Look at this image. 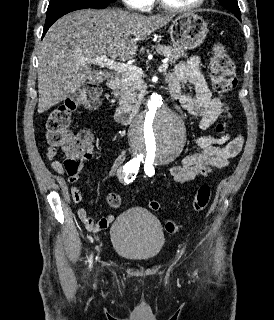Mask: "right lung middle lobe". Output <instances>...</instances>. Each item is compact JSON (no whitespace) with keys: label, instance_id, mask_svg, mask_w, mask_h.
Here are the masks:
<instances>
[{"label":"right lung middle lobe","instance_id":"dd1d6c3e","mask_svg":"<svg viewBox=\"0 0 274 320\" xmlns=\"http://www.w3.org/2000/svg\"><path fill=\"white\" fill-rule=\"evenodd\" d=\"M116 0H50L47 14L59 10L61 8L78 5V4H86V3H96V2H115Z\"/></svg>","mask_w":274,"mask_h":320}]
</instances>
